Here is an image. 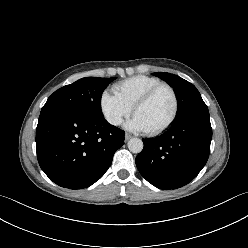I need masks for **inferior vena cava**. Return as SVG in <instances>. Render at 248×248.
<instances>
[{
	"instance_id": "obj_1",
	"label": "inferior vena cava",
	"mask_w": 248,
	"mask_h": 248,
	"mask_svg": "<svg viewBox=\"0 0 248 248\" xmlns=\"http://www.w3.org/2000/svg\"><path fill=\"white\" fill-rule=\"evenodd\" d=\"M109 122L113 125H120L122 120L119 117H115L109 120Z\"/></svg>"
}]
</instances>
